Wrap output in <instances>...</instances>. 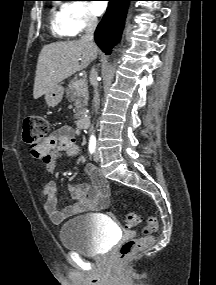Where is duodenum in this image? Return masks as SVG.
Instances as JSON below:
<instances>
[{"mask_svg":"<svg viewBox=\"0 0 216 285\" xmlns=\"http://www.w3.org/2000/svg\"><path fill=\"white\" fill-rule=\"evenodd\" d=\"M89 125V120L86 116H80L78 119V126L81 129L87 128Z\"/></svg>","mask_w":216,"mask_h":285,"instance_id":"duodenum-1","label":"duodenum"}]
</instances>
